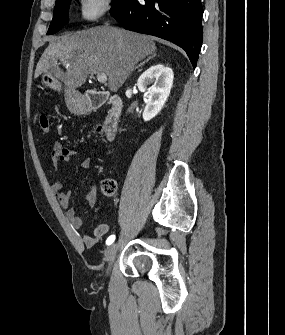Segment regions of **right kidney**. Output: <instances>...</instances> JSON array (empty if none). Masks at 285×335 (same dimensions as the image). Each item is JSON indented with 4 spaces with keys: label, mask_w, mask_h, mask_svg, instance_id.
<instances>
[{
    "label": "right kidney",
    "mask_w": 285,
    "mask_h": 335,
    "mask_svg": "<svg viewBox=\"0 0 285 335\" xmlns=\"http://www.w3.org/2000/svg\"><path fill=\"white\" fill-rule=\"evenodd\" d=\"M174 74L171 68H165L163 64H155L143 72L137 80L138 90L145 92L148 100L143 112L144 122H149L161 112L172 88ZM154 82L151 88L148 84Z\"/></svg>",
    "instance_id": "ca27d5eb"
}]
</instances>
